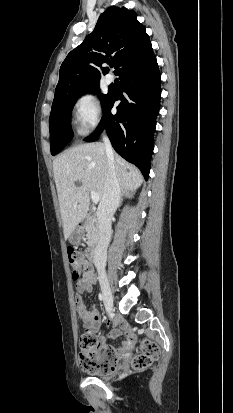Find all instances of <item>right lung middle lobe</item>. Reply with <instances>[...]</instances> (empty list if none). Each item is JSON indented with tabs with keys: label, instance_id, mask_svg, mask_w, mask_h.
I'll return each mask as SVG.
<instances>
[{
	"label": "right lung middle lobe",
	"instance_id": "obj_1",
	"mask_svg": "<svg viewBox=\"0 0 233 413\" xmlns=\"http://www.w3.org/2000/svg\"><path fill=\"white\" fill-rule=\"evenodd\" d=\"M99 90V84H95L78 94L61 99L52 104L49 119L50 147L52 155L61 151L73 137V132L70 126V117L73 106L78 98L87 92L98 93ZM99 96L101 97L102 105L104 107L108 101L110 92L106 95L101 94Z\"/></svg>",
	"mask_w": 233,
	"mask_h": 413
}]
</instances>
